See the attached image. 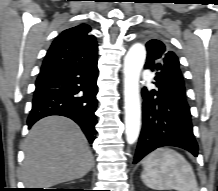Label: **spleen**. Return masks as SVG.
<instances>
[{"label": "spleen", "instance_id": "1", "mask_svg": "<svg viewBox=\"0 0 218 191\" xmlns=\"http://www.w3.org/2000/svg\"><path fill=\"white\" fill-rule=\"evenodd\" d=\"M141 178L154 190L198 191L191 165L170 148H159L144 159Z\"/></svg>", "mask_w": 218, "mask_h": 191}]
</instances>
